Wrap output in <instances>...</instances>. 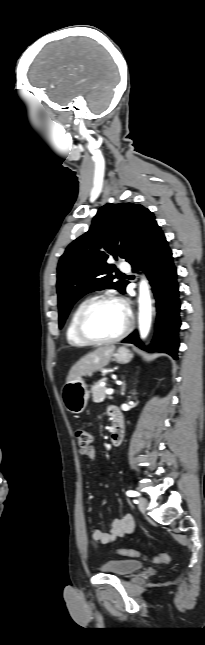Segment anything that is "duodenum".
Listing matches in <instances>:
<instances>
[{"label": "duodenum", "mask_w": 205, "mask_h": 645, "mask_svg": "<svg viewBox=\"0 0 205 645\" xmlns=\"http://www.w3.org/2000/svg\"><path fill=\"white\" fill-rule=\"evenodd\" d=\"M124 437V422L122 416L117 410L112 412V427H111V444L118 446L121 444Z\"/></svg>", "instance_id": "1"}]
</instances>
